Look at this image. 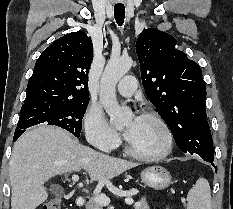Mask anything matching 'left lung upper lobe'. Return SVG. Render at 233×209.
I'll use <instances>...</instances> for the list:
<instances>
[{
    "label": "left lung upper lobe",
    "instance_id": "obj_1",
    "mask_svg": "<svg viewBox=\"0 0 233 209\" xmlns=\"http://www.w3.org/2000/svg\"><path fill=\"white\" fill-rule=\"evenodd\" d=\"M176 39L145 29L136 42L143 87L170 128L179 149L214 158L206 114V86L199 65L175 48Z\"/></svg>",
    "mask_w": 233,
    "mask_h": 209
}]
</instances>
